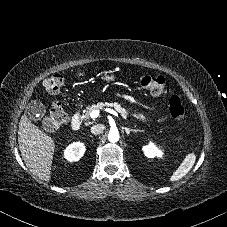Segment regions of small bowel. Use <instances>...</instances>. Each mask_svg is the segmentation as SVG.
Instances as JSON below:
<instances>
[{"mask_svg": "<svg viewBox=\"0 0 227 227\" xmlns=\"http://www.w3.org/2000/svg\"><path fill=\"white\" fill-rule=\"evenodd\" d=\"M119 97L123 98L124 100L130 102V103H133L135 104L136 103V100L129 96V95H119ZM134 116L138 119H142L143 118V113L142 112H139V113H135Z\"/></svg>", "mask_w": 227, "mask_h": 227, "instance_id": "obj_1", "label": "small bowel"}]
</instances>
